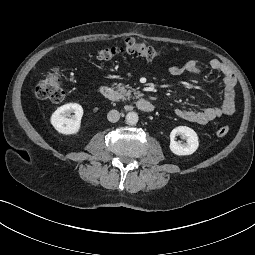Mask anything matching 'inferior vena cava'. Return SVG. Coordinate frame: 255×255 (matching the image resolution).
I'll return each instance as SVG.
<instances>
[{
  "label": "inferior vena cava",
  "mask_w": 255,
  "mask_h": 255,
  "mask_svg": "<svg viewBox=\"0 0 255 255\" xmlns=\"http://www.w3.org/2000/svg\"><path fill=\"white\" fill-rule=\"evenodd\" d=\"M108 121L114 123L120 119V113L117 110H111L107 114Z\"/></svg>",
  "instance_id": "1"
}]
</instances>
